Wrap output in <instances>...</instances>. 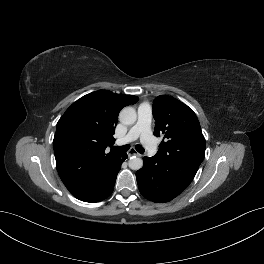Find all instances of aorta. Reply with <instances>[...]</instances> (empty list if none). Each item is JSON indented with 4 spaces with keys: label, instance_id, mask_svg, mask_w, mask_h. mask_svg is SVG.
Masks as SVG:
<instances>
[{
    "label": "aorta",
    "instance_id": "1",
    "mask_svg": "<svg viewBox=\"0 0 264 264\" xmlns=\"http://www.w3.org/2000/svg\"><path fill=\"white\" fill-rule=\"evenodd\" d=\"M137 113L132 107H125L119 113V120L125 125H132L136 122ZM129 168L139 170L143 166V160L139 157L132 156L128 161Z\"/></svg>",
    "mask_w": 264,
    "mask_h": 264
}]
</instances>
